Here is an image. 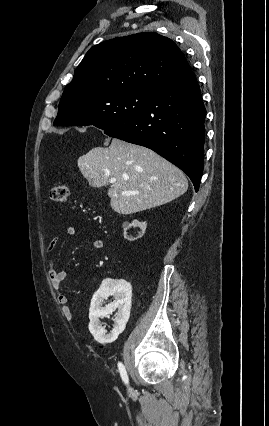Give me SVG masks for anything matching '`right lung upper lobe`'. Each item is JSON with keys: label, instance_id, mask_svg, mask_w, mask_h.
Returning <instances> with one entry per match:
<instances>
[{"label": "right lung upper lobe", "instance_id": "right-lung-upper-lobe-1", "mask_svg": "<svg viewBox=\"0 0 269 426\" xmlns=\"http://www.w3.org/2000/svg\"><path fill=\"white\" fill-rule=\"evenodd\" d=\"M191 72L185 56L171 39L142 32L92 47L62 97L91 98L129 90L152 92Z\"/></svg>", "mask_w": 269, "mask_h": 426}]
</instances>
